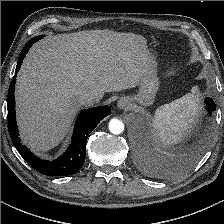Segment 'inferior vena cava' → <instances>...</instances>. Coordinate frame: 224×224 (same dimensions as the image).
Segmentation results:
<instances>
[{
	"mask_svg": "<svg viewBox=\"0 0 224 224\" xmlns=\"http://www.w3.org/2000/svg\"><path fill=\"white\" fill-rule=\"evenodd\" d=\"M98 101V96L92 93H84L79 97V102L81 105H93L98 103Z\"/></svg>",
	"mask_w": 224,
	"mask_h": 224,
	"instance_id": "obj_1",
	"label": "inferior vena cava"
}]
</instances>
